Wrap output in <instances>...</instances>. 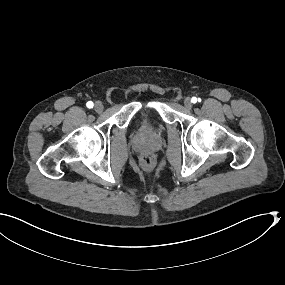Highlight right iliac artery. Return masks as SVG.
<instances>
[{
	"label": "right iliac artery",
	"instance_id": "82829eb1",
	"mask_svg": "<svg viewBox=\"0 0 285 285\" xmlns=\"http://www.w3.org/2000/svg\"><path fill=\"white\" fill-rule=\"evenodd\" d=\"M86 106H87L88 108H93L94 104H93L92 101H89V102H87Z\"/></svg>",
	"mask_w": 285,
	"mask_h": 285
}]
</instances>
